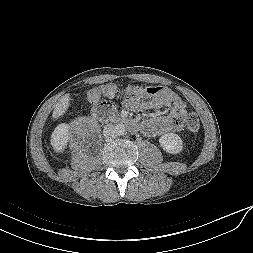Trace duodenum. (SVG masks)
Instances as JSON below:
<instances>
[{
  "label": "duodenum",
  "mask_w": 253,
  "mask_h": 253,
  "mask_svg": "<svg viewBox=\"0 0 253 253\" xmlns=\"http://www.w3.org/2000/svg\"><path fill=\"white\" fill-rule=\"evenodd\" d=\"M92 117L96 120L103 119L105 117H109L114 122L118 124H122L127 126L132 131H137L139 129V125L136 120L124 117V116H115L107 113V110L102 106H95L92 110Z\"/></svg>",
  "instance_id": "1"
}]
</instances>
